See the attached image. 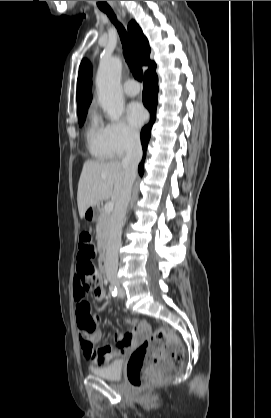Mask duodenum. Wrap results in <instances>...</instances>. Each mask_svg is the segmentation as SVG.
Masks as SVG:
<instances>
[{
  "mask_svg": "<svg viewBox=\"0 0 271 418\" xmlns=\"http://www.w3.org/2000/svg\"><path fill=\"white\" fill-rule=\"evenodd\" d=\"M107 267V256L106 253L103 251L100 257V268L102 272L106 271Z\"/></svg>",
  "mask_w": 271,
  "mask_h": 418,
  "instance_id": "410a0bca",
  "label": "duodenum"
}]
</instances>
